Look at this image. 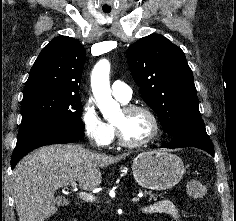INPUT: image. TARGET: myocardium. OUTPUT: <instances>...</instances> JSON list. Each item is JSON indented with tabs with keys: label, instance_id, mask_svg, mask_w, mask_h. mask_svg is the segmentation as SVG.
<instances>
[{
	"label": "myocardium",
	"instance_id": "myocardium-1",
	"mask_svg": "<svg viewBox=\"0 0 236 221\" xmlns=\"http://www.w3.org/2000/svg\"><path fill=\"white\" fill-rule=\"evenodd\" d=\"M122 111L125 114H132L135 112H143L149 116V118L152 121L153 124V132L152 134L145 140L140 141V142H131L125 139L123 136L121 127L119 126L118 123L114 122L113 127L115 130V134L118 140V143L126 148H142L145 146L150 145L153 143L160 135L161 133V124L160 121L156 115V113L149 107L144 106V105H126L123 107Z\"/></svg>",
	"mask_w": 236,
	"mask_h": 221
}]
</instances>
